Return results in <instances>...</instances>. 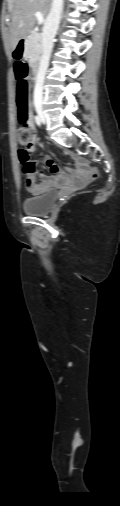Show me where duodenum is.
<instances>
[{
  "label": "duodenum",
  "instance_id": "duodenum-1",
  "mask_svg": "<svg viewBox=\"0 0 120 506\" xmlns=\"http://www.w3.org/2000/svg\"><path fill=\"white\" fill-rule=\"evenodd\" d=\"M28 41V36H23L20 38L18 45L15 46L14 56L16 58H23L25 56V45ZM32 72H33V79H38L39 72H40V64L39 62H34L32 64ZM72 153H69L71 156Z\"/></svg>",
  "mask_w": 120,
  "mask_h": 506
}]
</instances>
